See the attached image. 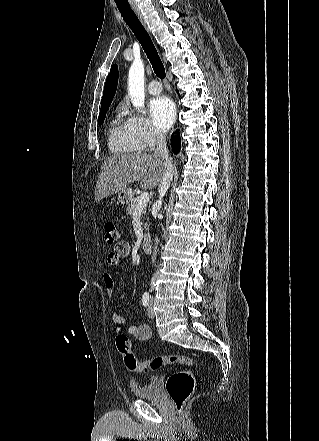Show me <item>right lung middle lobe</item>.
<instances>
[{
	"label": "right lung middle lobe",
	"mask_w": 319,
	"mask_h": 441,
	"mask_svg": "<svg viewBox=\"0 0 319 441\" xmlns=\"http://www.w3.org/2000/svg\"><path fill=\"white\" fill-rule=\"evenodd\" d=\"M108 108L109 107H105V108H102L100 110L99 120H98L99 125H101L104 122V119H105V116H106V112L108 111Z\"/></svg>",
	"instance_id": "dd1d6c3e"
}]
</instances>
